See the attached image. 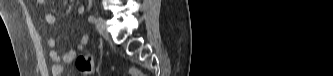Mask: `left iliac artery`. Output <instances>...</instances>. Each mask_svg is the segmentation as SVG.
<instances>
[{
	"mask_svg": "<svg viewBox=\"0 0 333 76\" xmlns=\"http://www.w3.org/2000/svg\"><path fill=\"white\" fill-rule=\"evenodd\" d=\"M88 20H89L90 22H95L96 19H95L94 16L91 15V16H89Z\"/></svg>",
	"mask_w": 333,
	"mask_h": 76,
	"instance_id": "obj_1",
	"label": "left iliac artery"
}]
</instances>
